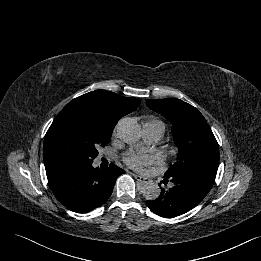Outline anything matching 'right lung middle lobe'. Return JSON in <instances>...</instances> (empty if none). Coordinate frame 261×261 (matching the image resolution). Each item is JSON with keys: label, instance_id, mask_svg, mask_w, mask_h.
<instances>
[{"label": "right lung middle lobe", "instance_id": "obj_1", "mask_svg": "<svg viewBox=\"0 0 261 261\" xmlns=\"http://www.w3.org/2000/svg\"><path fill=\"white\" fill-rule=\"evenodd\" d=\"M114 127L87 104L64 107L44 139L45 168L93 162L99 147L109 142Z\"/></svg>", "mask_w": 261, "mask_h": 261}]
</instances>
